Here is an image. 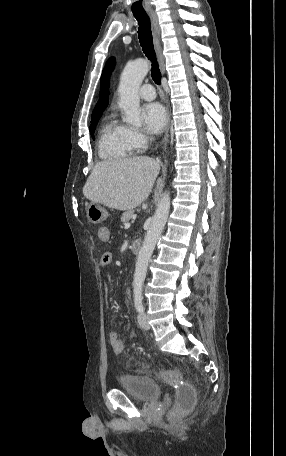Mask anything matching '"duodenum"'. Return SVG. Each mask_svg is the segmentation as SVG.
<instances>
[{"instance_id":"410a0bca","label":"duodenum","mask_w":286,"mask_h":456,"mask_svg":"<svg viewBox=\"0 0 286 456\" xmlns=\"http://www.w3.org/2000/svg\"><path fill=\"white\" fill-rule=\"evenodd\" d=\"M141 248V241L140 240H135L131 244V251L135 254L139 253Z\"/></svg>"}]
</instances>
